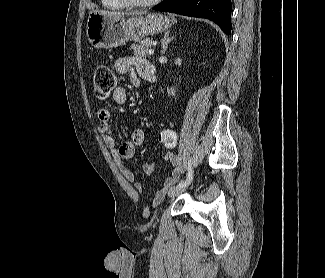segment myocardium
Listing matches in <instances>:
<instances>
[{
	"mask_svg": "<svg viewBox=\"0 0 325 278\" xmlns=\"http://www.w3.org/2000/svg\"><path fill=\"white\" fill-rule=\"evenodd\" d=\"M124 5L133 8L150 7L156 5L161 0H120Z\"/></svg>",
	"mask_w": 325,
	"mask_h": 278,
	"instance_id": "f54148a6",
	"label": "myocardium"
}]
</instances>
